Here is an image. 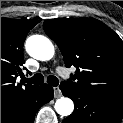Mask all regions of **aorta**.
Masks as SVG:
<instances>
[{
  "label": "aorta",
  "instance_id": "aorta-1",
  "mask_svg": "<svg viewBox=\"0 0 123 123\" xmlns=\"http://www.w3.org/2000/svg\"><path fill=\"white\" fill-rule=\"evenodd\" d=\"M25 47L30 56L40 61L52 59L55 52L52 42L42 35L28 37ZM55 110L61 116H69L74 110V103L68 97H61L55 103Z\"/></svg>",
  "mask_w": 123,
  "mask_h": 123
}]
</instances>
